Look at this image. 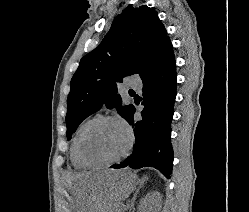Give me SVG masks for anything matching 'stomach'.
Segmentation results:
<instances>
[{"label":"stomach","mask_w":249,"mask_h":212,"mask_svg":"<svg viewBox=\"0 0 249 212\" xmlns=\"http://www.w3.org/2000/svg\"><path fill=\"white\" fill-rule=\"evenodd\" d=\"M73 186H66L69 206L73 212H95L101 210L98 204H119L125 193H133L127 170H90V175H80Z\"/></svg>","instance_id":"0dacf381"}]
</instances>
